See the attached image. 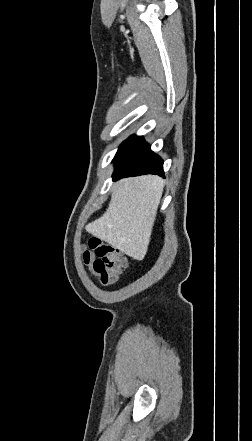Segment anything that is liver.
I'll return each instance as SVG.
<instances>
[{
    "label": "liver",
    "mask_w": 252,
    "mask_h": 441,
    "mask_svg": "<svg viewBox=\"0 0 252 441\" xmlns=\"http://www.w3.org/2000/svg\"><path fill=\"white\" fill-rule=\"evenodd\" d=\"M164 180L155 175L122 179L112 188L106 212L86 226L93 236L135 260L148 250Z\"/></svg>",
    "instance_id": "obj_1"
}]
</instances>
